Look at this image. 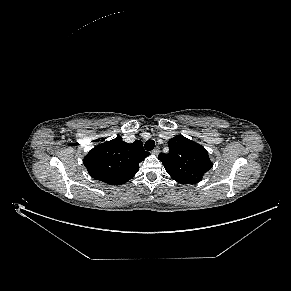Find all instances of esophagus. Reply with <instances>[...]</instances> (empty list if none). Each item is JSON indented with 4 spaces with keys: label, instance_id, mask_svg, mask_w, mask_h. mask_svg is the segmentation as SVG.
<instances>
[{
    "label": "esophagus",
    "instance_id": "esophagus-1",
    "mask_svg": "<svg viewBox=\"0 0 291 291\" xmlns=\"http://www.w3.org/2000/svg\"><path fill=\"white\" fill-rule=\"evenodd\" d=\"M160 153V149L159 147H155L153 150H152V154L154 155H158Z\"/></svg>",
    "mask_w": 291,
    "mask_h": 291
}]
</instances>
